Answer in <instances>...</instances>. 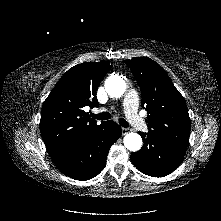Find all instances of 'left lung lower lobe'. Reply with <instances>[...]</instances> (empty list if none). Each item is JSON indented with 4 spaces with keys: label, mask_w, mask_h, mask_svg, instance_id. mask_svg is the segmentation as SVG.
<instances>
[{
    "label": "left lung lower lobe",
    "mask_w": 221,
    "mask_h": 221,
    "mask_svg": "<svg viewBox=\"0 0 221 221\" xmlns=\"http://www.w3.org/2000/svg\"><path fill=\"white\" fill-rule=\"evenodd\" d=\"M143 138L142 148L131 154L134 166L152 177H163L172 173L181 163L187 145L172 142L149 133L139 132Z\"/></svg>",
    "instance_id": "1"
}]
</instances>
